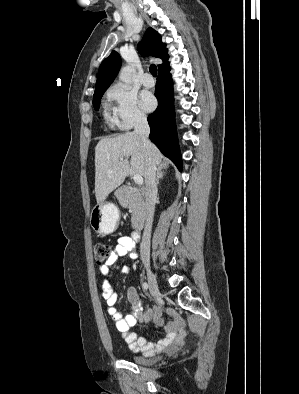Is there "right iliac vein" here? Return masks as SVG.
Wrapping results in <instances>:
<instances>
[{
	"label": "right iliac vein",
	"mask_w": 299,
	"mask_h": 394,
	"mask_svg": "<svg viewBox=\"0 0 299 394\" xmlns=\"http://www.w3.org/2000/svg\"><path fill=\"white\" fill-rule=\"evenodd\" d=\"M146 270H147V276H148L149 291H150L151 296L153 298H155L159 295L158 283H157L156 277L153 274V272L151 271L149 265H146Z\"/></svg>",
	"instance_id": "obj_1"
}]
</instances>
